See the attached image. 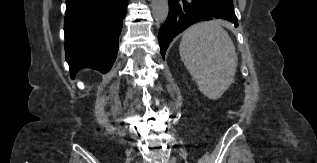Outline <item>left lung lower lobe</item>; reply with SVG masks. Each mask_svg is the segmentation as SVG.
<instances>
[{"instance_id":"1","label":"left lung lower lobe","mask_w":317,"mask_h":163,"mask_svg":"<svg viewBox=\"0 0 317 163\" xmlns=\"http://www.w3.org/2000/svg\"><path fill=\"white\" fill-rule=\"evenodd\" d=\"M215 18L226 19L238 26L232 0H169V14L159 31L162 57L179 33L194 23Z\"/></svg>"}]
</instances>
